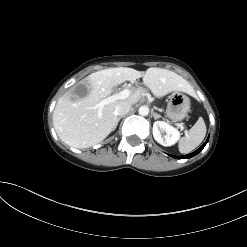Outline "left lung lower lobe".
I'll use <instances>...</instances> for the list:
<instances>
[{"instance_id":"0a47b994","label":"left lung lower lobe","mask_w":247,"mask_h":247,"mask_svg":"<svg viewBox=\"0 0 247 247\" xmlns=\"http://www.w3.org/2000/svg\"><path fill=\"white\" fill-rule=\"evenodd\" d=\"M208 140H209V138H208V139L206 140V142H205L199 149H197L195 152H192V153L187 154V155H184V156H172V157H174V158H176V159H188V158H191V157L197 155V154L205 147V145L207 144Z\"/></svg>"}]
</instances>
